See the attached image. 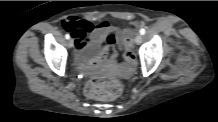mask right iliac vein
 I'll return each instance as SVG.
<instances>
[{
  "mask_svg": "<svg viewBox=\"0 0 218 122\" xmlns=\"http://www.w3.org/2000/svg\"><path fill=\"white\" fill-rule=\"evenodd\" d=\"M69 48H72L74 46V41L73 39H69L68 43H67Z\"/></svg>",
  "mask_w": 218,
  "mask_h": 122,
  "instance_id": "1",
  "label": "right iliac vein"
}]
</instances>
